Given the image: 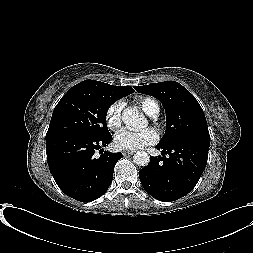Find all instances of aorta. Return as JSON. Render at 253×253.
<instances>
[{"instance_id":"1","label":"aorta","mask_w":253,"mask_h":253,"mask_svg":"<svg viewBox=\"0 0 253 253\" xmlns=\"http://www.w3.org/2000/svg\"><path fill=\"white\" fill-rule=\"evenodd\" d=\"M122 120L127 128L133 130L141 129L146 125L144 116L134 109L125 110L122 115ZM133 161L136 165L144 167L150 162V156L145 151H138L134 154Z\"/></svg>"}]
</instances>
